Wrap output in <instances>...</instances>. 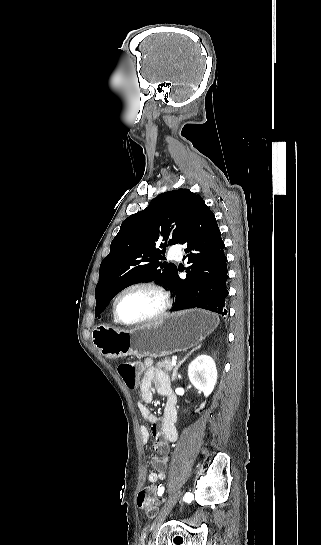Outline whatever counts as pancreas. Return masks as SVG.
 Here are the masks:
<instances>
[{"instance_id":"cf45deb5","label":"pancreas","mask_w":321,"mask_h":545,"mask_svg":"<svg viewBox=\"0 0 321 545\" xmlns=\"http://www.w3.org/2000/svg\"><path fill=\"white\" fill-rule=\"evenodd\" d=\"M156 367H162V369H164V371H168V373L173 369L171 359H162V361H159V363H157Z\"/></svg>"}]
</instances>
